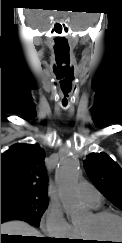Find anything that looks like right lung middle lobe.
<instances>
[{"instance_id":"right-lung-middle-lobe-1","label":"right lung middle lobe","mask_w":122,"mask_h":243,"mask_svg":"<svg viewBox=\"0 0 122 243\" xmlns=\"http://www.w3.org/2000/svg\"><path fill=\"white\" fill-rule=\"evenodd\" d=\"M48 198L28 195L1 196V211L24 213L40 223V218L47 208Z\"/></svg>"}]
</instances>
